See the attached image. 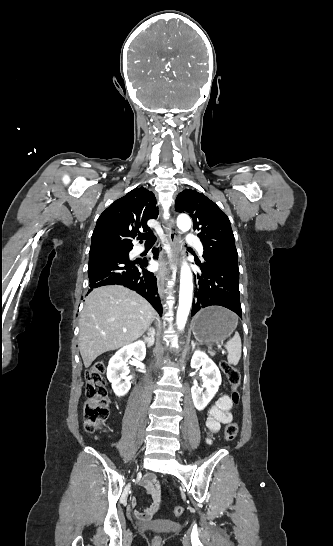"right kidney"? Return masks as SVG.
I'll list each match as a JSON object with an SVG mask.
<instances>
[{
    "label": "right kidney",
    "instance_id": "1",
    "mask_svg": "<svg viewBox=\"0 0 333 546\" xmlns=\"http://www.w3.org/2000/svg\"><path fill=\"white\" fill-rule=\"evenodd\" d=\"M145 355L146 347L144 342L137 341L122 347L111 357L107 367V378L117 396H124L131 387V382L127 378L130 372L127 364L128 360L133 357L135 360L142 361Z\"/></svg>",
    "mask_w": 333,
    "mask_h": 546
}]
</instances>
